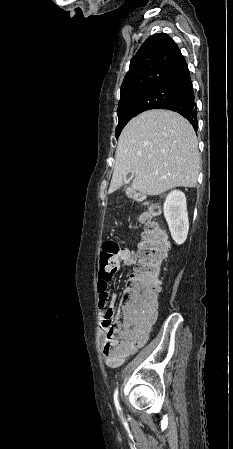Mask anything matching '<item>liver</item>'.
Listing matches in <instances>:
<instances>
[{"instance_id":"liver-1","label":"liver","mask_w":233,"mask_h":449,"mask_svg":"<svg viewBox=\"0 0 233 449\" xmlns=\"http://www.w3.org/2000/svg\"><path fill=\"white\" fill-rule=\"evenodd\" d=\"M200 170L198 141L192 125L176 112L154 109L124 127L115 153L108 193L118 190L129 173L132 189L156 196L174 187H195Z\"/></svg>"}]
</instances>
